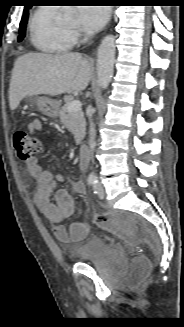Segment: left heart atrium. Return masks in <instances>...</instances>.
I'll list each match as a JSON object with an SVG mask.
<instances>
[{"mask_svg":"<svg viewBox=\"0 0 184 327\" xmlns=\"http://www.w3.org/2000/svg\"><path fill=\"white\" fill-rule=\"evenodd\" d=\"M108 17L109 9L106 7L84 5L77 9L78 25L86 32H95L101 29Z\"/></svg>","mask_w":184,"mask_h":327,"instance_id":"1","label":"left heart atrium"}]
</instances>
